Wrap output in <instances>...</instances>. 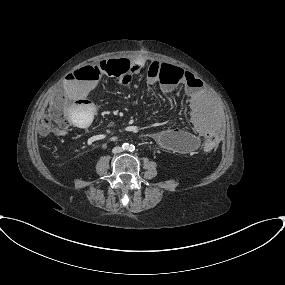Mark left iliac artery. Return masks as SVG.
<instances>
[{
  "label": "left iliac artery",
  "mask_w": 285,
  "mask_h": 285,
  "mask_svg": "<svg viewBox=\"0 0 285 285\" xmlns=\"http://www.w3.org/2000/svg\"><path fill=\"white\" fill-rule=\"evenodd\" d=\"M131 146H132V147H131V149H133V150H134V149H135V147H134L133 145H131Z\"/></svg>",
  "instance_id": "1"
}]
</instances>
